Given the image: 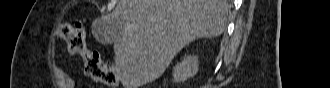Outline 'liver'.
<instances>
[{"label":"liver","mask_w":330,"mask_h":88,"mask_svg":"<svg viewBox=\"0 0 330 88\" xmlns=\"http://www.w3.org/2000/svg\"><path fill=\"white\" fill-rule=\"evenodd\" d=\"M227 0H120L106 17L107 39L124 88L161 76L183 47L223 33Z\"/></svg>","instance_id":"1"}]
</instances>
